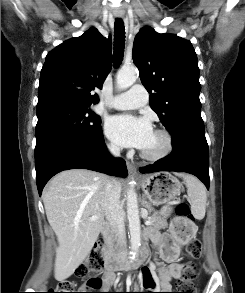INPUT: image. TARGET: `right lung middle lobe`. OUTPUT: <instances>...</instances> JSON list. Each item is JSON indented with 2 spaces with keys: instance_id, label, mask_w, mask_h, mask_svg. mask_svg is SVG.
Segmentation results:
<instances>
[{
  "instance_id": "dd1d6c3e",
  "label": "right lung middle lobe",
  "mask_w": 245,
  "mask_h": 293,
  "mask_svg": "<svg viewBox=\"0 0 245 293\" xmlns=\"http://www.w3.org/2000/svg\"><path fill=\"white\" fill-rule=\"evenodd\" d=\"M35 157L67 139H87L101 133V119L89 106L57 104L37 109Z\"/></svg>"
}]
</instances>
